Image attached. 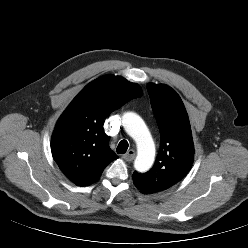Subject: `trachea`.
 <instances>
[{
	"label": "trachea",
	"instance_id": "3493384b",
	"mask_svg": "<svg viewBox=\"0 0 248 248\" xmlns=\"http://www.w3.org/2000/svg\"><path fill=\"white\" fill-rule=\"evenodd\" d=\"M128 142L126 140H121L117 146V153L124 154L128 149Z\"/></svg>",
	"mask_w": 248,
	"mask_h": 248
}]
</instances>
